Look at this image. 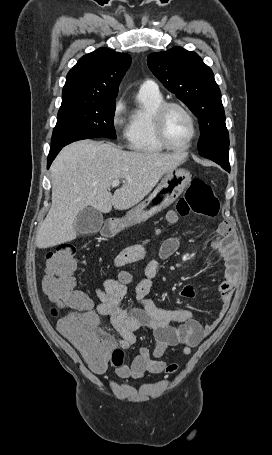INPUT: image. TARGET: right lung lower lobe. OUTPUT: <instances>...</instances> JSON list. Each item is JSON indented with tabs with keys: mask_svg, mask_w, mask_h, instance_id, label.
Returning <instances> with one entry per match:
<instances>
[{
	"mask_svg": "<svg viewBox=\"0 0 272 455\" xmlns=\"http://www.w3.org/2000/svg\"><path fill=\"white\" fill-rule=\"evenodd\" d=\"M62 149V147L51 149L48 155V161H47V168L51 165L52 161L56 157V155L59 153V151Z\"/></svg>",
	"mask_w": 272,
	"mask_h": 455,
	"instance_id": "1",
	"label": "right lung lower lobe"
}]
</instances>
